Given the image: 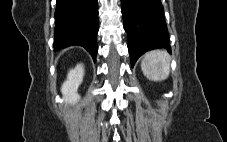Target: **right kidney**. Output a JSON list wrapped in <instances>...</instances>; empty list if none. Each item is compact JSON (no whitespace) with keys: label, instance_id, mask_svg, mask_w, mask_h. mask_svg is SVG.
Here are the masks:
<instances>
[{"label":"right kidney","instance_id":"ca27d5eb","mask_svg":"<svg viewBox=\"0 0 227 142\" xmlns=\"http://www.w3.org/2000/svg\"><path fill=\"white\" fill-rule=\"evenodd\" d=\"M83 76L84 68L81 64L77 65L75 69L70 70L67 80L61 87V92L63 94L65 103L75 104L80 99L77 90L83 81Z\"/></svg>","mask_w":227,"mask_h":142}]
</instances>
